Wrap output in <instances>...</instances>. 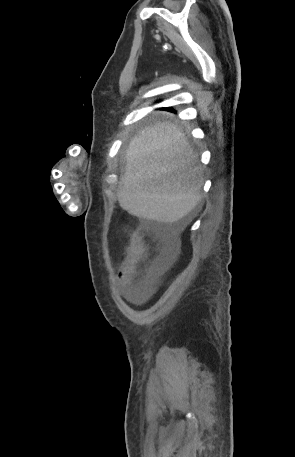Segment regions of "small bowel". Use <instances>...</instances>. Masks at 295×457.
Wrapping results in <instances>:
<instances>
[{"label":"small bowel","instance_id":"small-bowel-1","mask_svg":"<svg viewBox=\"0 0 295 457\" xmlns=\"http://www.w3.org/2000/svg\"><path fill=\"white\" fill-rule=\"evenodd\" d=\"M128 281H129V274L125 273L122 276V282L124 284H126V283H128ZM147 292H148V289L145 286L137 285L128 290L127 297L129 298L130 301L139 304V303H142L145 301V299L147 297Z\"/></svg>","mask_w":295,"mask_h":457}]
</instances>
